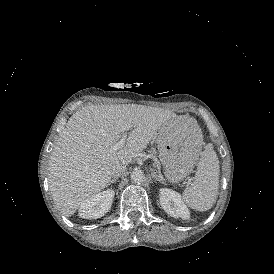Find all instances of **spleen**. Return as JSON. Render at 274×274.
Instances as JSON below:
<instances>
[{
  "instance_id": "1",
  "label": "spleen",
  "mask_w": 274,
  "mask_h": 274,
  "mask_svg": "<svg viewBox=\"0 0 274 274\" xmlns=\"http://www.w3.org/2000/svg\"><path fill=\"white\" fill-rule=\"evenodd\" d=\"M199 145L202 142V134L199 129L197 140ZM196 159L200 154L197 165V172L191 186L187 187L182 195V199L187 206L198 211H207L216 202L219 186V160L213 145H206L203 152L193 149ZM195 159V160H196Z\"/></svg>"
}]
</instances>
